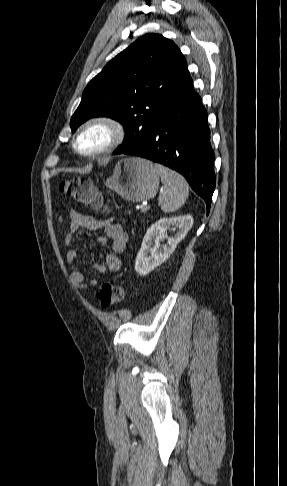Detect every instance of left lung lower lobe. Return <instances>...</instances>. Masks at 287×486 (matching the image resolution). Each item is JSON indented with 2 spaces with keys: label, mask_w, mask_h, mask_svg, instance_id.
Here are the masks:
<instances>
[{
  "label": "left lung lower lobe",
  "mask_w": 287,
  "mask_h": 486,
  "mask_svg": "<svg viewBox=\"0 0 287 486\" xmlns=\"http://www.w3.org/2000/svg\"><path fill=\"white\" fill-rule=\"evenodd\" d=\"M123 154L147 158L178 171L205 200L209 211L216 183L214 152L208 115L192 80L154 123L145 141Z\"/></svg>",
  "instance_id": "0a47b994"
}]
</instances>
